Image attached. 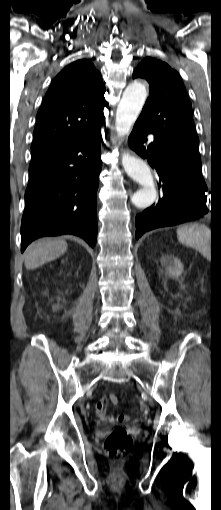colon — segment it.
I'll return each instance as SVG.
<instances>
[{
  "label": "colon",
  "instance_id": "colon-1",
  "mask_svg": "<svg viewBox=\"0 0 221 510\" xmlns=\"http://www.w3.org/2000/svg\"><path fill=\"white\" fill-rule=\"evenodd\" d=\"M110 402L113 405L118 403V398L115 395L110 397ZM114 420L125 423L129 417L126 414H117L113 416ZM132 438L128 431L122 427L113 429L107 436L104 443V450L106 455L113 461L119 462L125 458L132 449Z\"/></svg>",
  "mask_w": 221,
  "mask_h": 510
}]
</instances>
